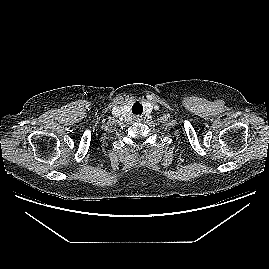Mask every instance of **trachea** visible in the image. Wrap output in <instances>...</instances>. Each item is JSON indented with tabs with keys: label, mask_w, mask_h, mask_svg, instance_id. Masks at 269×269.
I'll list each match as a JSON object with an SVG mask.
<instances>
[{
	"label": "trachea",
	"mask_w": 269,
	"mask_h": 269,
	"mask_svg": "<svg viewBox=\"0 0 269 269\" xmlns=\"http://www.w3.org/2000/svg\"><path fill=\"white\" fill-rule=\"evenodd\" d=\"M143 106L139 102H135L132 106L133 114H142Z\"/></svg>",
	"instance_id": "1"
}]
</instances>
